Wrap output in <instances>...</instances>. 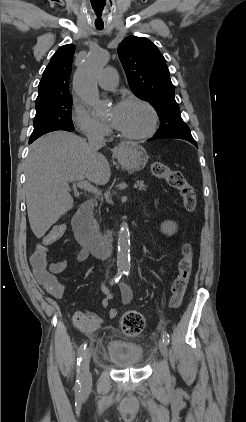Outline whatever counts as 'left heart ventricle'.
<instances>
[{
	"instance_id": "b2bd125f",
	"label": "left heart ventricle",
	"mask_w": 246,
	"mask_h": 422,
	"mask_svg": "<svg viewBox=\"0 0 246 422\" xmlns=\"http://www.w3.org/2000/svg\"><path fill=\"white\" fill-rule=\"evenodd\" d=\"M115 108L118 110L117 129L130 134H139L149 127L151 117L142 105L135 103L120 104ZM115 108L111 111V115Z\"/></svg>"
}]
</instances>
